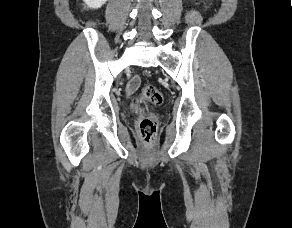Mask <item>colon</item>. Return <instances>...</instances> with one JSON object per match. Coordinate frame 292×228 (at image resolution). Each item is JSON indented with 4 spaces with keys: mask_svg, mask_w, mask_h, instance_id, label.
Segmentation results:
<instances>
[{
    "mask_svg": "<svg viewBox=\"0 0 292 228\" xmlns=\"http://www.w3.org/2000/svg\"><path fill=\"white\" fill-rule=\"evenodd\" d=\"M140 98L155 105H160L163 101L160 91L152 85H147L141 90ZM138 124L142 140L148 145L152 144L156 139L158 130L156 115L152 113L144 114L139 118Z\"/></svg>",
    "mask_w": 292,
    "mask_h": 228,
    "instance_id": "colon-1",
    "label": "colon"
}]
</instances>
